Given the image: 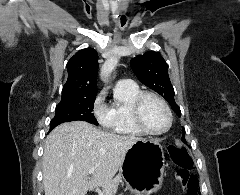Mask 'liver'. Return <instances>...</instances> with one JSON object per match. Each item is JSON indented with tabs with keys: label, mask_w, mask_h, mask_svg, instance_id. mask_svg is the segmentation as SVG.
Returning a JSON list of instances; mask_svg holds the SVG:
<instances>
[{
	"label": "liver",
	"mask_w": 240,
	"mask_h": 195,
	"mask_svg": "<svg viewBox=\"0 0 240 195\" xmlns=\"http://www.w3.org/2000/svg\"><path fill=\"white\" fill-rule=\"evenodd\" d=\"M138 139L142 137L108 133L87 121L60 123L45 141V195H86L88 189L98 187L108 195L111 189H117L121 177L117 171ZM90 167L96 169L88 177Z\"/></svg>",
	"instance_id": "6515ba94"
}]
</instances>
